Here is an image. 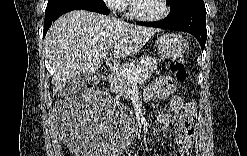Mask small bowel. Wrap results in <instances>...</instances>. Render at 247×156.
I'll return each mask as SVG.
<instances>
[{"label": "small bowel", "instance_id": "obj_1", "mask_svg": "<svg viewBox=\"0 0 247 156\" xmlns=\"http://www.w3.org/2000/svg\"><path fill=\"white\" fill-rule=\"evenodd\" d=\"M177 85L170 76H160L155 82L145 90V99L154 97L169 99L171 113H162L157 117V121L162 124H175L178 126L176 142L178 148L174 155H190L194 142V111L192 102H184L175 95Z\"/></svg>", "mask_w": 247, "mask_h": 156}]
</instances>
